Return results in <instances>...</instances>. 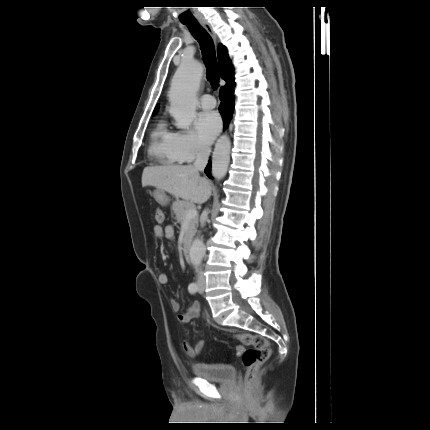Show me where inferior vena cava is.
Returning <instances> with one entry per match:
<instances>
[{"mask_svg": "<svg viewBox=\"0 0 430 430\" xmlns=\"http://www.w3.org/2000/svg\"><path fill=\"white\" fill-rule=\"evenodd\" d=\"M210 152H211V149L209 147H202L199 149V152L197 153V156H196V160L192 166L194 170L204 171L208 162ZM207 215H208V212L204 210L201 218V226H204L205 221L207 219ZM199 280L204 281V276L202 272L199 273Z\"/></svg>", "mask_w": 430, "mask_h": 430, "instance_id": "1", "label": "inferior vena cava"}]
</instances>
